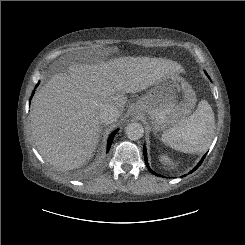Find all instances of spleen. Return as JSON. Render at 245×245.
Returning <instances> with one entry per match:
<instances>
[{
  "instance_id": "spleen-1",
  "label": "spleen",
  "mask_w": 245,
  "mask_h": 245,
  "mask_svg": "<svg viewBox=\"0 0 245 245\" xmlns=\"http://www.w3.org/2000/svg\"><path fill=\"white\" fill-rule=\"evenodd\" d=\"M214 134V113L209 103L202 100L190 117L163 132L162 141L184 153H203L210 147Z\"/></svg>"
}]
</instances>
